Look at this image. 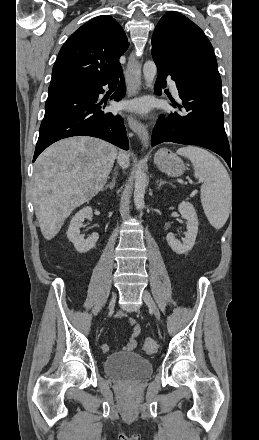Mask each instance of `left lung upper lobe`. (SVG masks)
Returning a JSON list of instances; mask_svg holds the SVG:
<instances>
[{
  "mask_svg": "<svg viewBox=\"0 0 259 440\" xmlns=\"http://www.w3.org/2000/svg\"><path fill=\"white\" fill-rule=\"evenodd\" d=\"M152 56L178 78H207L221 84L213 47L203 31L184 15L167 12L155 27Z\"/></svg>",
  "mask_w": 259,
  "mask_h": 440,
  "instance_id": "left-lung-upper-lobe-1",
  "label": "left lung upper lobe"
}]
</instances>
